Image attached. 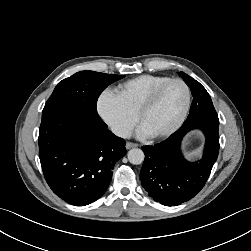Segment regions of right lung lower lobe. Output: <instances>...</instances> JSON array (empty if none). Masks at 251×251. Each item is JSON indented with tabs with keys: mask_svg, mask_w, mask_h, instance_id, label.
I'll return each mask as SVG.
<instances>
[{
	"mask_svg": "<svg viewBox=\"0 0 251 251\" xmlns=\"http://www.w3.org/2000/svg\"><path fill=\"white\" fill-rule=\"evenodd\" d=\"M39 158L52 191L75 206L99 199L107 190L115 163L126 154L97 111L80 105L42 113Z\"/></svg>",
	"mask_w": 251,
	"mask_h": 251,
	"instance_id": "obj_1",
	"label": "right lung lower lobe"
}]
</instances>
